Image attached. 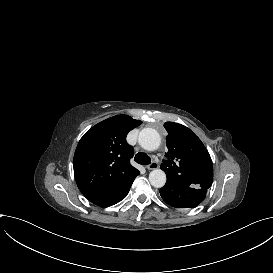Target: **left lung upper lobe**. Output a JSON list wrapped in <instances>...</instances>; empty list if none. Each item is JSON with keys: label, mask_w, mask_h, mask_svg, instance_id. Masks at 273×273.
<instances>
[{"label": "left lung upper lobe", "mask_w": 273, "mask_h": 273, "mask_svg": "<svg viewBox=\"0 0 273 273\" xmlns=\"http://www.w3.org/2000/svg\"><path fill=\"white\" fill-rule=\"evenodd\" d=\"M164 127L168 132V160L161 164V169L167 180L208 189L213 182V164L204 144L183 125L166 122Z\"/></svg>", "instance_id": "left-lung-upper-lobe-1"}]
</instances>
